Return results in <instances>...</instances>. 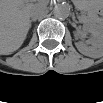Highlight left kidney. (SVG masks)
<instances>
[{"label":"left kidney","instance_id":"left-kidney-1","mask_svg":"<svg viewBox=\"0 0 103 103\" xmlns=\"http://www.w3.org/2000/svg\"><path fill=\"white\" fill-rule=\"evenodd\" d=\"M91 46L83 42L75 43L78 51L86 56L97 58L102 55L103 37L101 32L93 31L92 37L88 40Z\"/></svg>","mask_w":103,"mask_h":103}]
</instances>
